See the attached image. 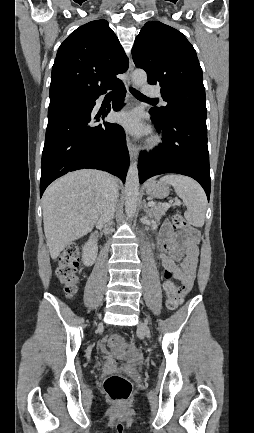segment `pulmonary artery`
Returning <instances> with one entry per match:
<instances>
[{
  "mask_svg": "<svg viewBox=\"0 0 254 433\" xmlns=\"http://www.w3.org/2000/svg\"><path fill=\"white\" fill-rule=\"evenodd\" d=\"M143 91L146 95H149V96L159 97V95H160L159 94V88L155 87V86L145 85V86H143Z\"/></svg>",
  "mask_w": 254,
  "mask_h": 433,
  "instance_id": "pulmonary-artery-1",
  "label": "pulmonary artery"
}]
</instances>
